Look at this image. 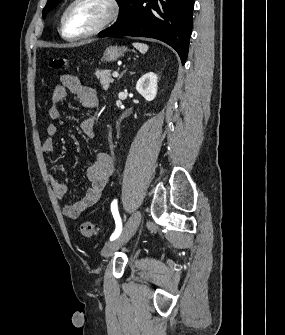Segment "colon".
I'll list each match as a JSON object with an SVG mask.
<instances>
[{"instance_id": "5ec220e1", "label": "colon", "mask_w": 285, "mask_h": 335, "mask_svg": "<svg viewBox=\"0 0 285 335\" xmlns=\"http://www.w3.org/2000/svg\"><path fill=\"white\" fill-rule=\"evenodd\" d=\"M68 65H69L68 60L61 57H54L49 61V66L57 70L65 69L68 67ZM80 231L83 236L92 237L96 234L97 229L92 222L87 221L81 224Z\"/></svg>"}]
</instances>
